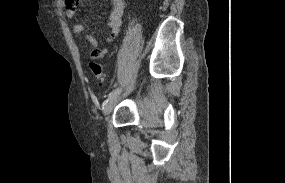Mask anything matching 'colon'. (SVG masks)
Here are the masks:
<instances>
[{
	"instance_id": "colon-1",
	"label": "colon",
	"mask_w": 285,
	"mask_h": 183,
	"mask_svg": "<svg viewBox=\"0 0 285 183\" xmlns=\"http://www.w3.org/2000/svg\"><path fill=\"white\" fill-rule=\"evenodd\" d=\"M76 2V0H66V4L71 7L72 3ZM90 70L94 76V78L100 83L103 84L106 81V74L101 64L97 62H90L89 64Z\"/></svg>"
}]
</instances>
